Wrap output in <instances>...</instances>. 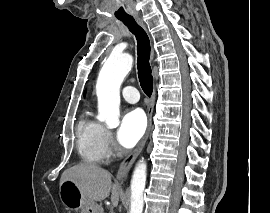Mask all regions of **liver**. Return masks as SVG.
<instances>
[{
  "instance_id": "obj_1",
  "label": "liver",
  "mask_w": 270,
  "mask_h": 213,
  "mask_svg": "<svg viewBox=\"0 0 270 213\" xmlns=\"http://www.w3.org/2000/svg\"><path fill=\"white\" fill-rule=\"evenodd\" d=\"M68 179L77 184L88 200L101 202L111 194L112 205H118V186L112 183L111 174L107 170L95 164L80 163L62 173L60 184Z\"/></svg>"
}]
</instances>
